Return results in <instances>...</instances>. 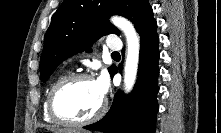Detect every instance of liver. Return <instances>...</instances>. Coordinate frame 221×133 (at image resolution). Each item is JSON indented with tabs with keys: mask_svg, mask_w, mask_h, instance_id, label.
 I'll use <instances>...</instances> for the list:
<instances>
[{
	"mask_svg": "<svg viewBox=\"0 0 221 133\" xmlns=\"http://www.w3.org/2000/svg\"><path fill=\"white\" fill-rule=\"evenodd\" d=\"M55 133H75V130L72 129H58L54 130Z\"/></svg>",
	"mask_w": 221,
	"mask_h": 133,
	"instance_id": "obj_1",
	"label": "liver"
}]
</instances>
